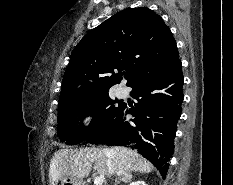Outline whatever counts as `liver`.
<instances>
[{
  "mask_svg": "<svg viewBox=\"0 0 233 185\" xmlns=\"http://www.w3.org/2000/svg\"><path fill=\"white\" fill-rule=\"evenodd\" d=\"M111 158L114 164L113 174L118 176L124 172L150 173L153 166L140 156L135 150L126 147L113 148H63L54 153L50 162V185H57L63 177H73L83 180L89 175L92 164L98 175H110L107 159Z\"/></svg>",
  "mask_w": 233,
  "mask_h": 185,
  "instance_id": "liver-1",
  "label": "liver"
}]
</instances>
